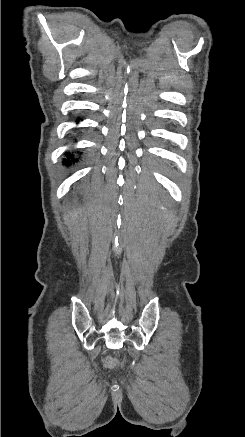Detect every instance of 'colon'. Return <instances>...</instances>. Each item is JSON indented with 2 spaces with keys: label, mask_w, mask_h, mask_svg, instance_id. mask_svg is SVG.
Here are the masks:
<instances>
[{
  "label": "colon",
  "mask_w": 245,
  "mask_h": 437,
  "mask_svg": "<svg viewBox=\"0 0 245 437\" xmlns=\"http://www.w3.org/2000/svg\"><path fill=\"white\" fill-rule=\"evenodd\" d=\"M106 362L108 365H113L115 363V361L112 359H106Z\"/></svg>",
  "instance_id": "colon-1"
}]
</instances>
